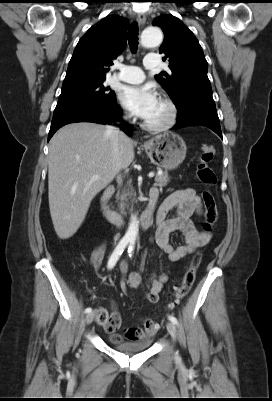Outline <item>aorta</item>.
<instances>
[{
    "mask_svg": "<svg viewBox=\"0 0 272 401\" xmlns=\"http://www.w3.org/2000/svg\"><path fill=\"white\" fill-rule=\"evenodd\" d=\"M163 34L158 27H148L141 34V44L144 47H155L162 43ZM138 220L136 216H132L125 238L134 242L138 234Z\"/></svg>",
    "mask_w": 272,
    "mask_h": 401,
    "instance_id": "762f6f07",
    "label": "aorta"
}]
</instances>
